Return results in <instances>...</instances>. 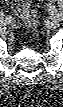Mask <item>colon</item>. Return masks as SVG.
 <instances>
[{"label":"colon","instance_id":"1","mask_svg":"<svg viewBox=\"0 0 63 107\" xmlns=\"http://www.w3.org/2000/svg\"><path fill=\"white\" fill-rule=\"evenodd\" d=\"M14 11L24 20L26 25L34 28L37 24V16L30 1L14 0L12 2Z\"/></svg>","mask_w":63,"mask_h":107}]
</instances>
